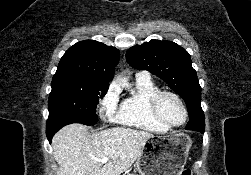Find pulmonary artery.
Instances as JSON below:
<instances>
[{
	"mask_svg": "<svg viewBox=\"0 0 251 175\" xmlns=\"http://www.w3.org/2000/svg\"><path fill=\"white\" fill-rule=\"evenodd\" d=\"M135 77L137 80H145V81L151 80V76L147 72H139L135 75Z\"/></svg>",
	"mask_w": 251,
	"mask_h": 175,
	"instance_id": "pulmonary-artery-1",
	"label": "pulmonary artery"
}]
</instances>
